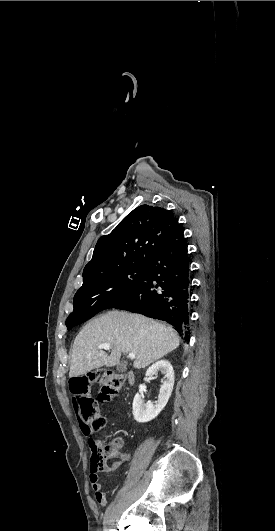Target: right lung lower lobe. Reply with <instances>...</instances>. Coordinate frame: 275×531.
I'll use <instances>...</instances> for the list:
<instances>
[{
  "mask_svg": "<svg viewBox=\"0 0 275 531\" xmlns=\"http://www.w3.org/2000/svg\"><path fill=\"white\" fill-rule=\"evenodd\" d=\"M189 261L180 225L147 264L142 280L112 308L167 321L189 339Z\"/></svg>",
  "mask_w": 275,
  "mask_h": 531,
  "instance_id": "obj_1",
  "label": "right lung lower lobe"
}]
</instances>
